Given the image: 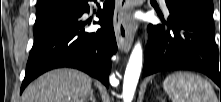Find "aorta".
Instances as JSON below:
<instances>
[{"label": "aorta", "mask_w": 221, "mask_h": 102, "mask_svg": "<svg viewBox=\"0 0 221 102\" xmlns=\"http://www.w3.org/2000/svg\"><path fill=\"white\" fill-rule=\"evenodd\" d=\"M143 51L138 42L135 44L130 55L123 82L122 96L124 102H131L136 90V86L142 69Z\"/></svg>", "instance_id": "aorta-1"}]
</instances>
